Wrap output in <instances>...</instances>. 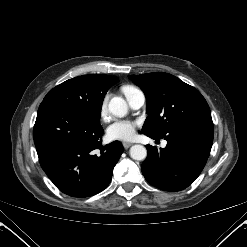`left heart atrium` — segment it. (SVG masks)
<instances>
[{
	"mask_svg": "<svg viewBox=\"0 0 247 247\" xmlns=\"http://www.w3.org/2000/svg\"><path fill=\"white\" fill-rule=\"evenodd\" d=\"M137 123L131 120H117L107 128L110 140L127 141L133 138Z\"/></svg>",
	"mask_w": 247,
	"mask_h": 247,
	"instance_id": "obj_1",
	"label": "left heart atrium"
}]
</instances>
